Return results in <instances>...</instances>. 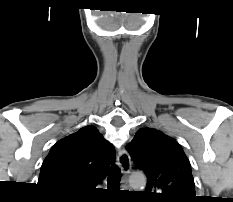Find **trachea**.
Here are the masks:
<instances>
[{
	"mask_svg": "<svg viewBox=\"0 0 233 202\" xmlns=\"http://www.w3.org/2000/svg\"><path fill=\"white\" fill-rule=\"evenodd\" d=\"M120 180H121V172L118 167L113 165L111 167V171L107 179V185L109 188H119Z\"/></svg>",
	"mask_w": 233,
	"mask_h": 202,
	"instance_id": "obj_1",
	"label": "trachea"
}]
</instances>
